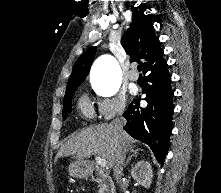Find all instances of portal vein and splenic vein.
Masks as SVG:
<instances>
[{"label":"portal vein and splenic vein","instance_id":"1","mask_svg":"<svg viewBox=\"0 0 221 193\" xmlns=\"http://www.w3.org/2000/svg\"><path fill=\"white\" fill-rule=\"evenodd\" d=\"M95 160L100 167L105 168L107 166V161L100 156H95Z\"/></svg>","mask_w":221,"mask_h":193}]
</instances>
